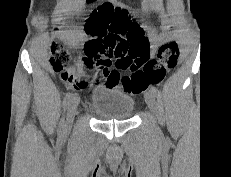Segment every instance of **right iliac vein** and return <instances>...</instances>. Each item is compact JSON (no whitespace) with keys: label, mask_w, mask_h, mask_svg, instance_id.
I'll return each mask as SVG.
<instances>
[{"label":"right iliac vein","mask_w":231,"mask_h":177,"mask_svg":"<svg viewBox=\"0 0 231 177\" xmlns=\"http://www.w3.org/2000/svg\"><path fill=\"white\" fill-rule=\"evenodd\" d=\"M79 101H80V98L77 95H75L69 103L68 110H67V116H66V124H65L66 132L71 130L74 116L77 112Z\"/></svg>","instance_id":"right-iliac-vein-1"}]
</instances>
